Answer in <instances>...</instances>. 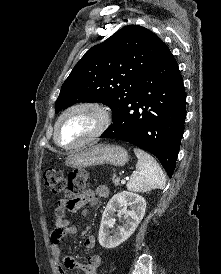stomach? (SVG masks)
Returning a JSON list of instances; mask_svg holds the SVG:
<instances>
[{
	"label": "stomach",
	"mask_w": 221,
	"mask_h": 274,
	"mask_svg": "<svg viewBox=\"0 0 221 274\" xmlns=\"http://www.w3.org/2000/svg\"><path fill=\"white\" fill-rule=\"evenodd\" d=\"M129 160L127 151L117 145L96 144L74 152L66 159L71 167H89L103 164L124 166Z\"/></svg>",
	"instance_id": "obj_1"
}]
</instances>
